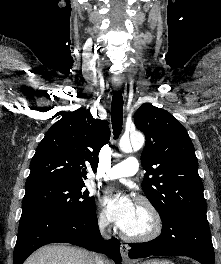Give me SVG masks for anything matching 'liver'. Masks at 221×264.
Wrapping results in <instances>:
<instances>
[{
  "instance_id": "1",
  "label": "liver",
  "mask_w": 221,
  "mask_h": 264,
  "mask_svg": "<svg viewBox=\"0 0 221 264\" xmlns=\"http://www.w3.org/2000/svg\"><path fill=\"white\" fill-rule=\"evenodd\" d=\"M97 256L75 247L49 245L33 253L24 264H96ZM105 264L112 263L107 262Z\"/></svg>"
}]
</instances>
